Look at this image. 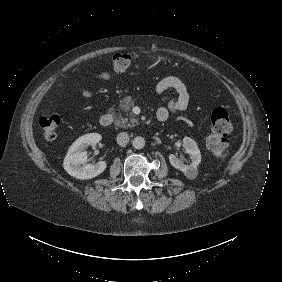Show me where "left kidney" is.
Masks as SVG:
<instances>
[{
	"instance_id": "1",
	"label": "left kidney",
	"mask_w": 282,
	"mask_h": 282,
	"mask_svg": "<svg viewBox=\"0 0 282 282\" xmlns=\"http://www.w3.org/2000/svg\"><path fill=\"white\" fill-rule=\"evenodd\" d=\"M183 146L185 152L189 155L191 161L188 166L184 165L182 160L174 154L169 155L171 165L184 173L188 179H195L198 176V164L201 162V154L196 142L189 137H184Z\"/></svg>"
}]
</instances>
